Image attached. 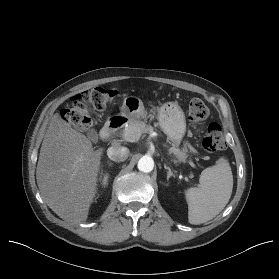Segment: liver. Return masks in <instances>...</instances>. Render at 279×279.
<instances>
[{
  "mask_svg": "<svg viewBox=\"0 0 279 279\" xmlns=\"http://www.w3.org/2000/svg\"><path fill=\"white\" fill-rule=\"evenodd\" d=\"M102 150L55 114L40 149L36 179L45 203L68 224L86 221L97 191Z\"/></svg>",
  "mask_w": 279,
  "mask_h": 279,
  "instance_id": "1",
  "label": "liver"
}]
</instances>
